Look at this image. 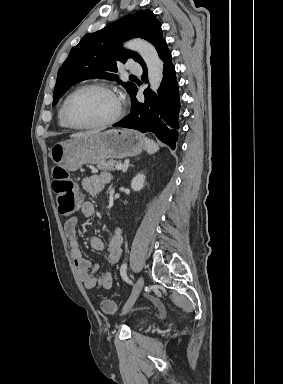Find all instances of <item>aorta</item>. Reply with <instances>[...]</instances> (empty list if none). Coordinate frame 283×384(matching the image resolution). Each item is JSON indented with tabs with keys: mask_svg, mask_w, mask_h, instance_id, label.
Returning a JSON list of instances; mask_svg holds the SVG:
<instances>
[{
	"mask_svg": "<svg viewBox=\"0 0 283 384\" xmlns=\"http://www.w3.org/2000/svg\"><path fill=\"white\" fill-rule=\"evenodd\" d=\"M124 46L136 51L143 58L148 69L150 88L156 92L162 82L164 64L154 46L142 39L130 40Z\"/></svg>",
	"mask_w": 283,
	"mask_h": 384,
	"instance_id": "aorta-1",
	"label": "aorta"
}]
</instances>
